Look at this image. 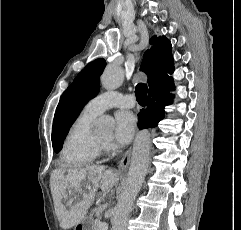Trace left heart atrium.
I'll list each match as a JSON object with an SVG mask.
<instances>
[{
    "label": "left heart atrium",
    "instance_id": "39dd6f15",
    "mask_svg": "<svg viewBox=\"0 0 241 230\" xmlns=\"http://www.w3.org/2000/svg\"><path fill=\"white\" fill-rule=\"evenodd\" d=\"M115 140L119 144L129 143L136 131L137 121L135 115L128 110L116 113Z\"/></svg>",
    "mask_w": 241,
    "mask_h": 230
}]
</instances>
